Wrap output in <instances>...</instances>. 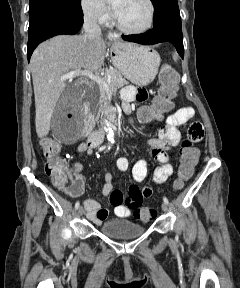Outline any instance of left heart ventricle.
Returning <instances> with one entry per match:
<instances>
[{
  "instance_id": "b2bd125f",
  "label": "left heart ventricle",
  "mask_w": 240,
  "mask_h": 288,
  "mask_svg": "<svg viewBox=\"0 0 240 288\" xmlns=\"http://www.w3.org/2000/svg\"><path fill=\"white\" fill-rule=\"evenodd\" d=\"M118 17L128 28L140 29L147 25L150 9L146 0H124Z\"/></svg>"
}]
</instances>
